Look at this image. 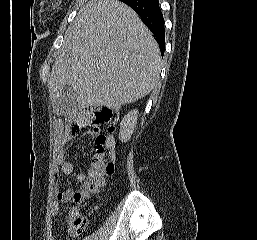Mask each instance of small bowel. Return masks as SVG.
I'll use <instances>...</instances> for the list:
<instances>
[{"instance_id": "small-bowel-1", "label": "small bowel", "mask_w": 257, "mask_h": 240, "mask_svg": "<svg viewBox=\"0 0 257 240\" xmlns=\"http://www.w3.org/2000/svg\"><path fill=\"white\" fill-rule=\"evenodd\" d=\"M78 124H70L63 129H59L57 131L56 140H55V180L56 184L59 181L60 175H71L74 171L73 164L66 160L65 157V146L74 138L79 136L82 133V126ZM107 148L110 153L114 155L115 142L112 138H109L106 143ZM86 179V175L82 172L77 173L76 180L80 183L84 182ZM74 190L66 189V190H57L56 198L50 209V218L53 220L59 212V204L69 203L72 199ZM70 233L72 235L77 234L78 232L71 229ZM47 240H64L62 237L58 236L52 228L48 230Z\"/></svg>"}]
</instances>
